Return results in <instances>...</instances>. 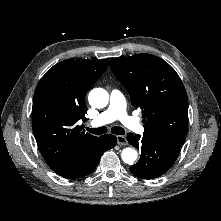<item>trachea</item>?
Here are the masks:
<instances>
[{
  "label": "trachea",
  "instance_id": "trachea-1",
  "mask_svg": "<svg viewBox=\"0 0 221 221\" xmlns=\"http://www.w3.org/2000/svg\"><path fill=\"white\" fill-rule=\"evenodd\" d=\"M88 132L95 134V135H101L105 134L107 132L106 127H99V128H86ZM111 133L116 135H123L125 133L124 129L122 127H112Z\"/></svg>",
  "mask_w": 221,
  "mask_h": 221
}]
</instances>
